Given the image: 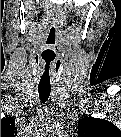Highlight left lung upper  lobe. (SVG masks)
I'll use <instances>...</instances> for the list:
<instances>
[{
    "instance_id": "obj_1",
    "label": "left lung upper lobe",
    "mask_w": 121,
    "mask_h": 137,
    "mask_svg": "<svg viewBox=\"0 0 121 137\" xmlns=\"http://www.w3.org/2000/svg\"><path fill=\"white\" fill-rule=\"evenodd\" d=\"M78 132L84 137H112L121 134L117 127L111 122L104 119L93 118L91 116H85L80 119L78 123Z\"/></svg>"
}]
</instances>
